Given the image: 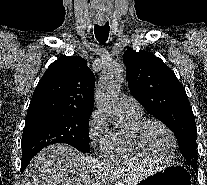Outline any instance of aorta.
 <instances>
[{
    "instance_id": "obj_1",
    "label": "aorta",
    "mask_w": 207,
    "mask_h": 185,
    "mask_svg": "<svg viewBox=\"0 0 207 185\" xmlns=\"http://www.w3.org/2000/svg\"><path fill=\"white\" fill-rule=\"evenodd\" d=\"M123 72V66L117 62L106 64L95 91L97 109L108 116L116 127L124 123V115L118 106V93L123 81Z\"/></svg>"
}]
</instances>
